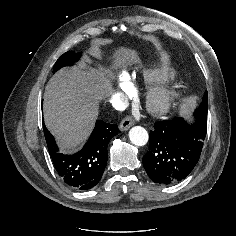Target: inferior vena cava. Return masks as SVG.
<instances>
[{"instance_id": "602c4592", "label": "inferior vena cava", "mask_w": 236, "mask_h": 236, "mask_svg": "<svg viewBox=\"0 0 236 236\" xmlns=\"http://www.w3.org/2000/svg\"><path fill=\"white\" fill-rule=\"evenodd\" d=\"M111 103L117 110H124L126 107V103L124 101V98L122 97V94L114 95L111 99Z\"/></svg>"}]
</instances>
